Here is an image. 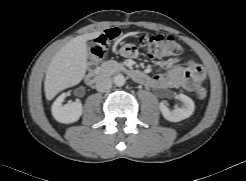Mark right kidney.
<instances>
[{
  "mask_svg": "<svg viewBox=\"0 0 246 181\" xmlns=\"http://www.w3.org/2000/svg\"><path fill=\"white\" fill-rule=\"evenodd\" d=\"M66 94H61L52 105V115L60 123H73L78 121L82 115L83 108L79 101L68 102L63 105Z\"/></svg>",
  "mask_w": 246,
  "mask_h": 181,
  "instance_id": "obj_1",
  "label": "right kidney"
}]
</instances>
